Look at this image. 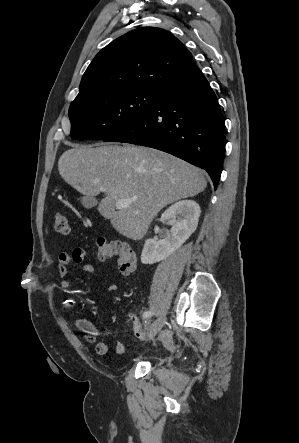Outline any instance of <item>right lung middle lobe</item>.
Segmentation results:
<instances>
[{
    "mask_svg": "<svg viewBox=\"0 0 299 443\" xmlns=\"http://www.w3.org/2000/svg\"><path fill=\"white\" fill-rule=\"evenodd\" d=\"M160 91L121 89L72 102L70 136L76 140L105 139L146 114Z\"/></svg>",
    "mask_w": 299,
    "mask_h": 443,
    "instance_id": "right-lung-middle-lobe-1",
    "label": "right lung middle lobe"
}]
</instances>
